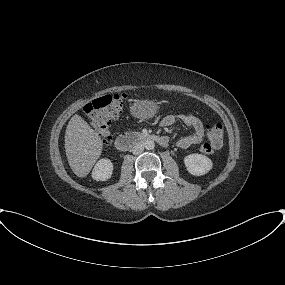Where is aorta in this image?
Wrapping results in <instances>:
<instances>
[{"mask_svg":"<svg viewBox=\"0 0 285 285\" xmlns=\"http://www.w3.org/2000/svg\"><path fill=\"white\" fill-rule=\"evenodd\" d=\"M143 145L147 150H152L155 147V143L153 140H146Z\"/></svg>","mask_w":285,"mask_h":285,"instance_id":"aorta-1","label":"aorta"}]
</instances>
